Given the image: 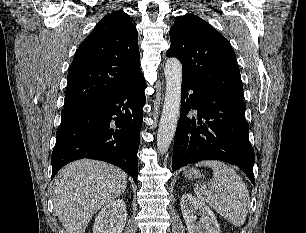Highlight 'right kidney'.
Here are the masks:
<instances>
[{
    "mask_svg": "<svg viewBox=\"0 0 306 233\" xmlns=\"http://www.w3.org/2000/svg\"><path fill=\"white\" fill-rule=\"evenodd\" d=\"M127 221L126 204L116 199L104 206L97 215L93 233H122Z\"/></svg>",
    "mask_w": 306,
    "mask_h": 233,
    "instance_id": "1",
    "label": "right kidney"
}]
</instances>
